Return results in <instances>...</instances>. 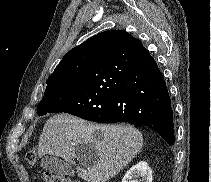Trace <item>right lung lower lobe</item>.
Instances as JSON below:
<instances>
[{
	"instance_id": "98d812e1",
	"label": "right lung lower lobe",
	"mask_w": 211,
	"mask_h": 182,
	"mask_svg": "<svg viewBox=\"0 0 211 182\" xmlns=\"http://www.w3.org/2000/svg\"><path fill=\"white\" fill-rule=\"evenodd\" d=\"M58 112L99 123L141 124L169 145L175 141L173 111L163 75L148 50L121 30L97 35L80 86L58 102L53 113Z\"/></svg>"
}]
</instances>
